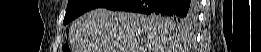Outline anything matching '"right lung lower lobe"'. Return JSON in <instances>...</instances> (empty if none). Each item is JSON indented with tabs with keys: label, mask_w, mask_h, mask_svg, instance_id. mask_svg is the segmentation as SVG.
Returning a JSON list of instances; mask_svg holds the SVG:
<instances>
[{
	"label": "right lung lower lobe",
	"mask_w": 261,
	"mask_h": 52,
	"mask_svg": "<svg viewBox=\"0 0 261 52\" xmlns=\"http://www.w3.org/2000/svg\"><path fill=\"white\" fill-rule=\"evenodd\" d=\"M102 8L179 18L195 15V5L186 0H110Z\"/></svg>",
	"instance_id": "1"
}]
</instances>
